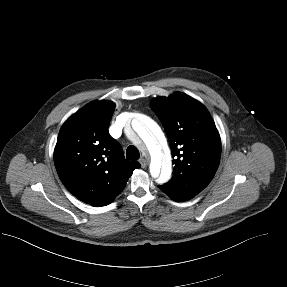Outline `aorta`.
Returning <instances> with one entry per match:
<instances>
[{
	"instance_id": "1",
	"label": "aorta",
	"mask_w": 287,
	"mask_h": 287,
	"mask_svg": "<svg viewBox=\"0 0 287 287\" xmlns=\"http://www.w3.org/2000/svg\"><path fill=\"white\" fill-rule=\"evenodd\" d=\"M143 118L157 140L150 137L137 120H133L132 125L144 136V142L151 157L149 167L151 176L158 178L159 182L165 183L170 180L172 173L171 155L167 147L166 138L156 122L147 116H143Z\"/></svg>"
}]
</instances>
